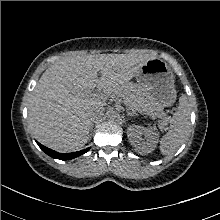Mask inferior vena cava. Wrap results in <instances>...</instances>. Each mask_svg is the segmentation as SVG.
<instances>
[{
  "label": "inferior vena cava",
  "mask_w": 220,
  "mask_h": 220,
  "mask_svg": "<svg viewBox=\"0 0 220 220\" xmlns=\"http://www.w3.org/2000/svg\"><path fill=\"white\" fill-rule=\"evenodd\" d=\"M105 108L103 106L96 107L90 112V120L95 121L104 115Z\"/></svg>",
  "instance_id": "obj_1"
}]
</instances>
